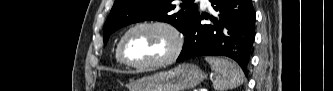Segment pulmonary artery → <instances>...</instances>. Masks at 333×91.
Masks as SVG:
<instances>
[{
  "instance_id": "pulmonary-artery-1",
  "label": "pulmonary artery",
  "mask_w": 333,
  "mask_h": 91,
  "mask_svg": "<svg viewBox=\"0 0 333 91\" xmlns=\"http://www.w3.org/2000/svg\"><path fill=\"white\" fill-rule=\"evenodd\" d=\"M202 5L203 7H207L208 6V1L207 0H202Z\"/></svg>"
}]
</instances>
